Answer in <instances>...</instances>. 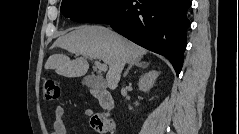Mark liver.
I'll use <instances>...</instances> for the list:
<instances>
[{
	"instance_id": "6515ba94",
	"label": "liver",
	"mask_w": 239,
	"mask_h": 134,
	"mask_svg": "<svg viewBox=\"0 0 239 134\" xmlns=\"http://www.w3.org/2000/svg\"><path fill=\"white\" fill-rule=\"evenodd\" d=\"M53 47L62 48L77 56L74 60L62 54L51 55L45 69H54L58 75L74 78L87 73V59H99L109 66L106 75L108 87L116 89L126 63L140 61L147 51L103 26H79L59 37Z\"/></svg>"
}]
</instances>
